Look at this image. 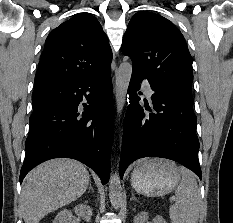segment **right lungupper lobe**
Masks as SVG:
<instances>
[{"mask_svg": "<svg viewBox=\"0 0 233 223\" xmlns=\"http://www.w3.org/2000/svg\"><path fill=\"white\" fill-rule=\"evenodd\" d=\"M111 61L112 51L97 19L76 15L48 35L34 89L97 76L111 68Z\"/></svg>", "mask_w": 233, "mask_h": 223, "instance_id": "obj_1", "label": "right lung upper lobe"}]
</instances>
